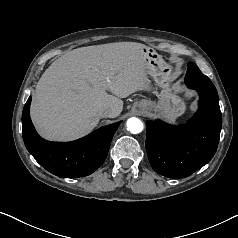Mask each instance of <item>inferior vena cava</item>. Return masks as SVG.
I'll return each mask as SVG.
<instances>
[{
  "instance_id": "obj_1",
  "label": "inferior vena cava",
  "mask_w": 238,
  "mask_h": 238,
  "mask_svg": "<svg viewBox=\"0 0 238 238\" xmlns=\"http://www.w3.org/2000/svg\"><path fill=\"white\" fill-rule=\"evenodd\" d=\"M112 114H113V111L110 108H101L99 110V115L101 118L111 117Z\"/></svg>"
}]
</instances>
